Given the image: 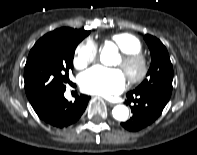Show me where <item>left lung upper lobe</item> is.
I'll return each instance as SVG.
<instances>
[{
	"label": "left lung upper lobe",
	"mask_w": 197,
	"mask_h": 155,
	"mask_svg": "<svg viewBox=\"0 0 197 155\" xmlns=\"http://www.w3.org/2000/svg\"><path fill=\"white\" fill-rule=\"evenodd\" d=\"M144 39L151 52V65L147 78L130 93L155 95L169 101L172 93L173 67L168 51L156 37L147 34Z\"/></svg>",
	"instance_id": "obj_1"
}]
</instances>
